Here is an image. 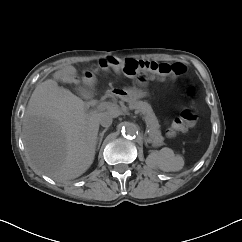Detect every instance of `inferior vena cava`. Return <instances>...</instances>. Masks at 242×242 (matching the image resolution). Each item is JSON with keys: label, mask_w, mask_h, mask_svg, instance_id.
<instances>
[{"label": "inferior vena cava", "mask_w": 242, "mask_h": 242, "mask_svg": "<svg viewBox=\"0 0 242 242\" xmlns=\"http://www.w3.org/2000/svg\"><path fill=\"white\" fill-rule=\"evenodd\" d=\"M112 121L113 117L109 113L105 112L100 115L99 123L101 124V126L107 128L112 124Z\"/></svg>", "instance_id": "602c4592"}]
</instances>
